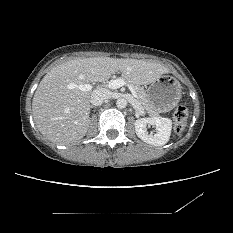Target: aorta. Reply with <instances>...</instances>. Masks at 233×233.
<instances>
[{
  "label": "aorta",
  "mask_w": 233,
  "mask_h": 233,
  "mask_svg": "<svg viewBox=\"0 0 233 233\" xmlns=\"http://www.w3.org/2000/svg\"><path fill=\"white\" fill-rule=\"evenodd\" d=\"M116 106L120 109H123L127 106V100L125 98H119L116 101Z\"/></svg>",
  "instance_id": "obj_1"
}]
</instances>
